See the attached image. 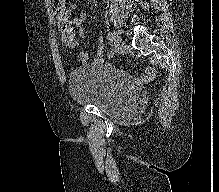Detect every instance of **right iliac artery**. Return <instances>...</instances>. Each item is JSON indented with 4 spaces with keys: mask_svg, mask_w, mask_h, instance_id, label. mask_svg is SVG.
I'll return each mask as SVG.
<instances>
[{
    "mask_svg": "<svg viewBox=\"0 0 219 192\" xmlns=\"http://www.w3.org/2000/svg\"><path fill=\"white\" fill-rule=\"evenodd\" d=\"M107 39H108V43L110 45H112L113 44V34L111 32H108Z\"/></svg>",
    "mask_w": 219,
    "mask_h": 192,
    "instance_id": "1",
    "label": "right iliac artery"
}]
</instances>
